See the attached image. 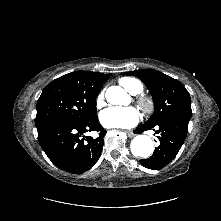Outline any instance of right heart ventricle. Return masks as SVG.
Returning a JSON list of instances; mask_svg holds the SVG:
<instances>
[{
  "label": "right heart ventricle",
  "mask_w": 221,
  "mask_h": 221,
  "mask_svg": "<svg viewBox=\"0 0 221 221\" xmlns=\"http://www.w3.org/2000/svg\"><path fill=\"white\" fill-rule=\"evenodd\" d=\"M119 82L131 94H138L143 90V84L135 78L123 77Z\"/></svg>",
  "instance_id": "e07e8e85"
}]
</instances>
